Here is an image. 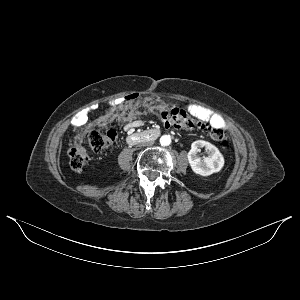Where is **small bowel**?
<instances>
[{
	"mask_svg": "<svg viewBox=\"0 0 300 300\" xmlns=\"http://www.w3.org/2000/svg\"><path fill=\"white\" fill-rule=\"evenodd\" d=\"M187 109H188V112L193 116L208 120L210 123H212L216 126H219L221 128L225 127L224 120L218 114H215L212 111H210L202 106H199L196 104H191L187 107ZM92 111H93V109H91V108L80 111L73 118V124L77 127L86 125L89 121V117H90ZM105 122H106V117H100V118L94 120L93 122H91V125H102ZM141 125H142V121L132 120L129 122L128 127L135 128V127H140Z\"/></svg>",
	"mask_w": 300,
	"mask_h": 300,
	"instance_id": "c3829d8e",
	"label": "small bowel"
}]
</instances>
